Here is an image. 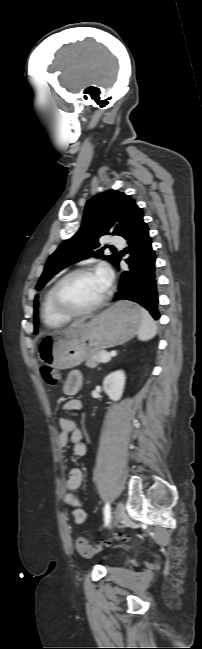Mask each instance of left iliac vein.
Masks as SVG:
<instances>
[{
    "mask_svg": "<svg viewBox=\"0 0 202 649\" xmlns=\"http://www.w3.org/2000/svg\"><path fill=\"white\" fill-rule=\"evenodd\" d=\"M124 516H125V507L121 502H119L117 504L116 510L114 512V521H113V525L111 526V528H113L119 522H121V520L124 518Z\"/></svg>",
    "mask_w": 202,
    "mask_h": 649,
    "instance_id": "left-iliac-vein-1",
    "label": "left iliac vein"
}]
</instances>
